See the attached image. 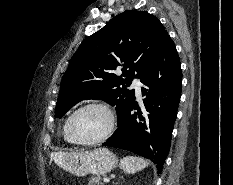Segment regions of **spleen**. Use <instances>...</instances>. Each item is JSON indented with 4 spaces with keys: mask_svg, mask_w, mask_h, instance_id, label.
Segmentation results:
<instances>
[{
    "mask_svg": "<svg viewBox=\"0 0 233 185\" xmlns=\"http://www.w3.org/2000/svg\"><path fill=\"white\" fill-rule=\"evenodd\" d=\"M149 163L141 157L126 156L121 160V166L126 174H134L143 170Z\"/></svg>",
    "mask_w": 233,
    "mask_h": 185,
    "instance_id": "spleen-1",
    "label": "spleen"
}]
</instances>
